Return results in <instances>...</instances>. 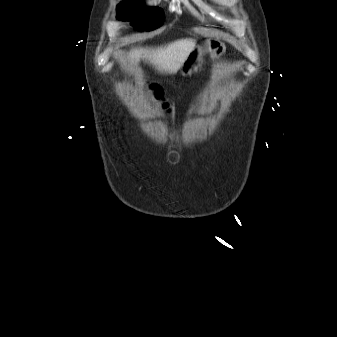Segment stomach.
Masks as SVG:
<instances>
[{
    "label": "stomach",
    "instance_id": "0dacf381",
    "mask_svg": "<svg viewBox=\"0 0 337 337\" xmlns=\"http://www.w3.org/2000/svg\"><path fill=\"white\" fill-rule=\"evenodd\" d=\"M226 50L224 43L218 40H208L205 45L196 46L188 55L180 68L183 76L196 73L204 63V56L210 54L212 58L222 55Z\"/></svg>",
    "mask_w": 337,
    "mask_h": 337
}]
</instances>
